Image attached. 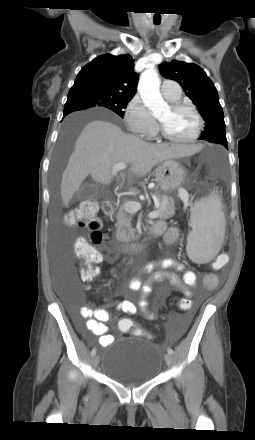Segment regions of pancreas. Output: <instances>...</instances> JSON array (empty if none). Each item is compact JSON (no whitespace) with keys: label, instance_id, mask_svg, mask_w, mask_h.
<instances>
[{"label":"pancreas","instance_id":"1","mask_svg":"<svg viewBox=\"0 0 255 440\" xmlns=\"http://www.w3.org/2000/svg\"><path fill=\"white\" fill-rule=\"evenodd\" d=\"M159 219H169L175 214L174 200L166 195L159 196ZM116 239L121 242H129L136 238L134 230L131 229L132 216L120 206L116 215Z\"/></svg>","mask_w":255,"mask_h":440}]
</instances>
